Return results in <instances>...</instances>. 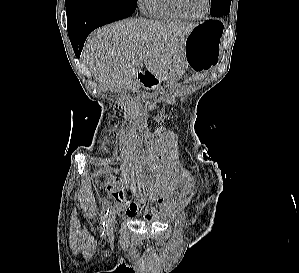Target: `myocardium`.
Segmentation results:
<instances>
[{"label": "myocardium", "instance_id": "f54148a6", "mask_svg": "<svg viewBox=\"0 0 299 273\" xmlns=\"http://www.w3.org/2000/svg\"><path fill=\"white\" fill-rule=\"evenodd\" d=\"M206 1V6H205V10L204 12L199 15V16H192L189 13H187V11L185 10L182 0H174L175 5L177 7V9L188 19L191 20H200L202 18H204L206 16V14L208 13L209 7H210V0H205Z\"/></svg>", "mask_w": 299, "mask_h": 273}]
</instances>
